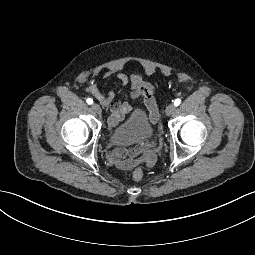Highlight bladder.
Wrapping results in <instances>:
<instances>
[{"label": "bladder", "mask_w": 255, "mask_h": 255, "mask_svg": "<svg viewBox=\"0 0 255 255\" xmlns=\"http://www.w3.org/2000/svg\"><path fill=\"white\" fill-rule=\"evenodd\" d=\"M155 135L150 116L143 109L136 108L109 132L108 141L115 146H130L149 142Z\"/></svg>", "instance_id": "obj_1"}]
</instances>
